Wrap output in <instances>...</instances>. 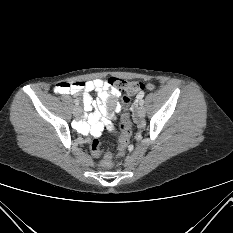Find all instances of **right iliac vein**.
<instances>
[{
  "mask_svg": "<svg viewBox=\"0 0 233 233\" xmlns=\"http://www.w3.org/2000/svg\"><path fill=\"white\" fill-rule=\"evenodd\" d=\"M81 113H82L81 107L75 106V107L73 108V114H74V116H79Z\"/></svg>",
  "mask_w": 233,
  "mask_h": 233,
  "instance_id": "right-iliac-vein-1",
  "label": "right iliac vein"
}]
</instances>
